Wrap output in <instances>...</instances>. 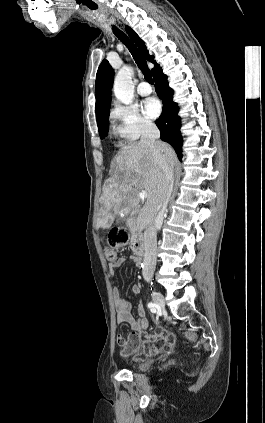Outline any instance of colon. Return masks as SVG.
<instances>
[{
    "label": "colon",
    "mask_w": 265,
    "mask_h": 423,
    "mask_svg": "<svg viewBox=\"0 0 265 423\" xmlns=\"http://www.w3.org/2000/svg\"><path fill=\"white\" fill-rule=\"evenodd\" d=\"M129 234L124 229L114 228L109 234V245L105 249L106 258L109 261L116 260L117 248L127 245Z\"/></svg>",
    "instance_id": "5ec220e1"
}]
</instances>
